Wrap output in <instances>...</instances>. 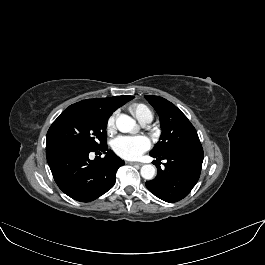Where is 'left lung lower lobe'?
<instances>
[{
    "mask_svg": "<svg viewBox=\"0 0 265 265\" xmlns=\"http://www.w3.org/2000/svg\"><path fill=\"white\" fill-rule=\"evenodd\" d=\"M151 155V154H150ZM157 163V176L146 182V187L158 198L166 202H177L186 197L197 183L202 162L203 148L201 143L181 147L163 156H154ZM166 160L161 169L160 160Z\"/></svg>",
    "mask_w": 265,
    "mask_h": 265,
    "instance_id": "0a47b994",
    "label": "left lung lower lobe"
}]
</instances>
